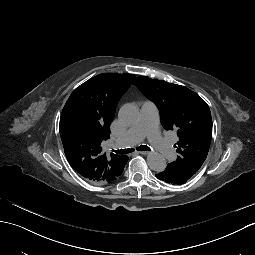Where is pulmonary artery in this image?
Segmentation results:
<instances>
[{
  "label": "pulmonary artery",
  "instance_id": "e3ab8cb5",
  "mask_svg": "<svg viewBox=\"0 0 255 255\" xmlns=\"http://www.w3.org/2000/svg\"><path fill=\"white\" fill-rule=\"evenodd\" d=\"M157 117V107L152 101H145L141 107V119L138 124L130 128L122 137L114 140L111 144L113 149H124L132 147L141 142L145 137H149L158 152L163 153L164 157L171 163L177 161L173 144L168 143L158 132L159 124Z\"/></svg>",
  "mask_w": 255,
  "mask_h": 255
}]
</instances>
